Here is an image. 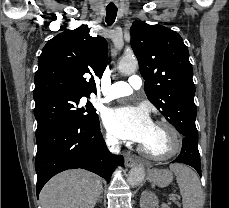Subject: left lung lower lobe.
Wrapping results in <instances>:
<instances>
[{
	"label": "left lung lower lobe",
	"instance_id": "left-lung-lower-lobe-1",
	"mask_svg": "<svg viewBox=\"0 0 229 208\" xmlns=\"http://www.w3.org/2000/svg\"><path fill=\"white\" fill-rule=\"evenodd\" d=\"M192 166L201 176L200 154L198 151V132L193 128L185 131L182 151L173 161Z\"/></svg>",
	"mask_w": 229,
	"mask_h": 208
}]
</instances>
